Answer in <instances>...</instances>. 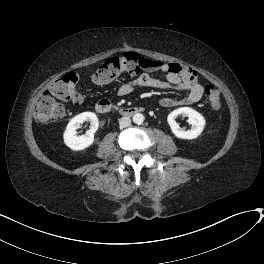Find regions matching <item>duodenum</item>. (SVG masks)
I'll return each mask as SVG.
<instances>
[{
  "mask_svg": "<svg viewBox=\"0 0 264 264\" xmlns=\"http://www.w3.org/2000/svg\"><path fill=\"white\" fill-rule=\"evenodd\" d=\"M95 110L100 114H108L112 110V105L110 101L103 99L96 103ZM141 112L143 109L137 106L121 107L118 110V113L124 117H131Z\"/></svg>",
  "mask_w": 264,
  "mask_h": 264,
  "instance_id": "duodenum-1",
  "label": "duodenum"
}]
</instances>
